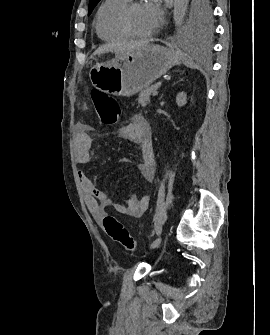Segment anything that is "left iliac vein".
I'll return each instance as SVG.
<instances>
[{"label": "left iliac vein", "mask_w": 270, "mask_h": 335, "mask_svg": "<svg viewBox=\"0 0 270 335\" xmlns=\"http://www.w3.org/2000/svg\"><path fill=\"white\" fill-rule=\"evenodd\" d=\"M162 237L157 238L150 246L151 249H154L160 245Z\"/></svg>", "instance_id": "left-iliac-vein-1"}]
</instances>
